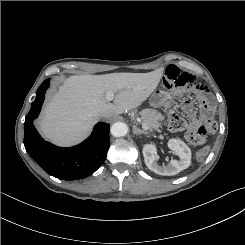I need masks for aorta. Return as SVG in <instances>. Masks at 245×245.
Returning <instances> with one entry per match:
<instances>
[{
  "instance_id": "aorta-1",
  "label": "aorta",
  "mask_w": 245,
  "mask_h": 245,
  "mask_svg": "<svg viewBox=\"0 0 245 245\" xmlns=\"http://www.w3.org/2000/svg\"><path fill=\"white\" fill-rule=\"evenodd\" d=\"M127 131L128 127L123 122H115L110 128V132L114 137L125 136L127 134Z\"/></svg>"
}]
</instances>
